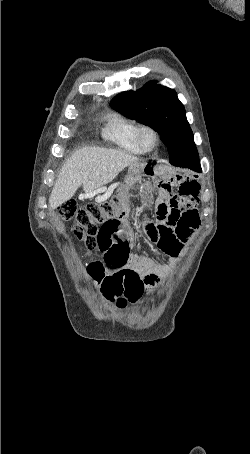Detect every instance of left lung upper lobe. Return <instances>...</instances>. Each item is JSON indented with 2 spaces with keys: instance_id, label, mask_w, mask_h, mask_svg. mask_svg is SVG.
I'll list each match as a JSON object with an SVG mask.
<instances>
[{
  "instance_id": "1",
  "label": "left lung upper lobe",
  "mask_w": 250,
  "mask_h": 454,
  "mask_svg": "<svg viewBox=\"0 0 250 454\" xmlns=\"http://www.w3.org/2000/svg\"><path fill=\"white\" fill-rule=\"evenodd\" d=\"M110 106L157 131L170 157L185 153L198 156L184 106L174 90L151 81L136 92L118 94L111 100Z\"/></svg>"
}]
</instances>
